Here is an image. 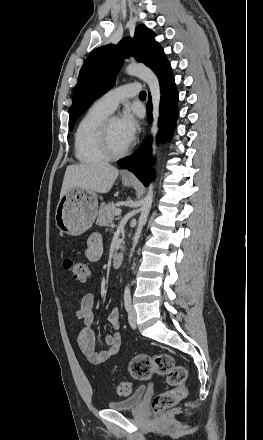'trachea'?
<instances>
[{"mask_svg":"<svg viewBox=\"0 0 263 440\" xmlns=\"http://www.w3.org/2000/svg\"><path fill=\"white\" fill-rule=\"evenodd\" d=\"M139 97H146V92L145 91H141L139 94Z\"/></svg>","mask_w":263,"mask_h":440,"instance_id":"trachea-1","label":"trachea"}]
</instances>
